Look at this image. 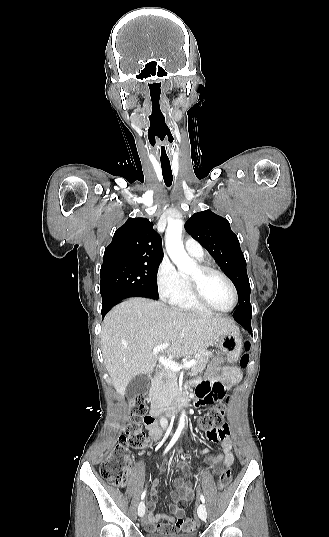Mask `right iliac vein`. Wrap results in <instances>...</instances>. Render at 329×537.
I'll use <instances>...</instances> for the list:
<instances>
[{
	"instance_id": "obj_1",
	"label": "right iliac vein",
	"mask_w": 329,
	"mask_h": 537,
	"mask_svg": "<svg viewBox=\"0 0 329 537\" xmlns=\"http://www.w3.org/2000/svg\"><path fill=\"white\" fill-rule=\"evenodd\" d=\"M137 512H138V515H139L140 517H143V516H144V514H145V504H144V502H141V503L139 504V506H138V511H137Z\"/></svg>"
}]
</instances>
